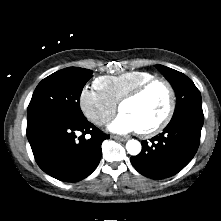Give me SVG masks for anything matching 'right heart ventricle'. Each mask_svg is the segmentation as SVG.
Here are the masks:
<instances>
[{
	"instance_id": "1",
	"label": "right heart ventricle",
	"mask_w": 221,
	"mask_h": 221,
	"mask_svg": "<svg viewBox=\"0 0 221 221\" xmlns=\"http://www.w3.org/2000/svg\"><path fill=\"white\" fill-rule=\"evenodd\" d=\"M152 78H154L152 73L136 70L115 76H101L94 84L99 91L118 104L123 96Z\"/></svg>"
}]
</instances>
